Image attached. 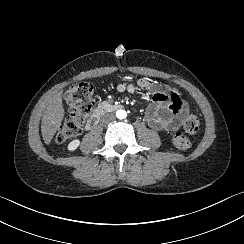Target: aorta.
<instances>
[{
	"mask_svg": "<svg viewBox=\"0 0 244 244\" xmlns=\"http://www.w3.org/2000/svg\"><path fill=\"white\" fill-rule=\"evenodd\" d=\"M116 116H117V118H119V119H124V118H126L127 113H126L125 110H118V111L116 112Z\"/></svg>",
	"mask_w": 244,
	"mask_h": 244,
	"instance_id": "aorta-1",
	"label": "aorta"
}]
</instances>
